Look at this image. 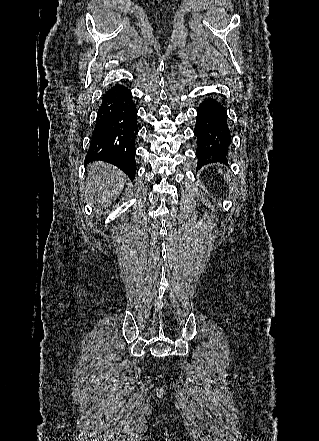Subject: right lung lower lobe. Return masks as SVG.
<instances>
[{"instance_id":"98d812e1","label":"right lung lower lobe","mask_w":319,"mask_h":441,"mask_svg":"<svg viewBox=\"0 0 319 441\" xmlns=\"http://www.w3.org/2000/svg\"><path fill=\"white\" fill-rule=\"evenodd\" d=\"M137 132V109L132 93L116 84L103 94L85 161L109 162L133 180Z\"/></svg>"}]
</instances>
